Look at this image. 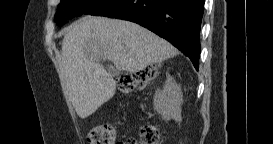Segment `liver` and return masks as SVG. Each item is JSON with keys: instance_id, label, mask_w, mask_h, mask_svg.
Segmentation results:
<instances>
[{"instance_id": "obj_1", "label": "liver", "mask_w": 273, "mask_h": 144, "mask_svg": "<svg viewBox=\"0 0 273 144\" xmlns=\"http://www.w3.org/2000/svg\"><path fill=\"white\" fill-rule=\"evenodd\" d=\"M177 54L165 39L130 21L90 15L79 19L64 35L61 52L65 85L77 115L87 118L115 94V81L101 60L133 73Z\"/></svg>"}]
</instances>
